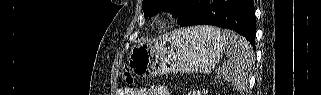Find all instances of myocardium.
<instances>
[{"instance_id": "obj_1", "label": "myocardium", "mask_w": 321, "mask_h": 95, "mask_svg": "<svg viewBox=\"0 0 321 95\" xmlns=\"http://www.w3.org/2000/svg\"><path fill=\"white\" fill-rule=\"evenodd\" d=\"M172 12L170 11H164L162 16L156 20V25L159 27H164L165 25L169 24V21L172 17Z\"/></svg>"}]
</instances>
